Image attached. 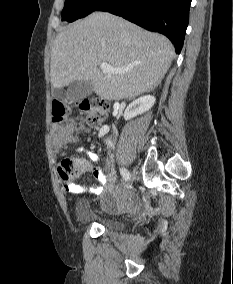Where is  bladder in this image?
<instances>
[{
	"instance_id": "1",
	"label": "bladder",
	"mask_w": 233,
	"mask_h": 284,
	"mask_svg": "<svg viewBox=\"0 0 233 284\" xmlns=\"http://www.w3.org/2000/svg\"><path fill=\"white\" fill-rule=\"evenodd\" d=\"M115 198L119 201H126L130 198V195L126 193ZM74 210L76 221L80 224L97 223L109 232H119L123 229L122 222L115 218L97 217L91 210L88 201L84 198L77 199Z\"/></svg>"
}]
</instances>
